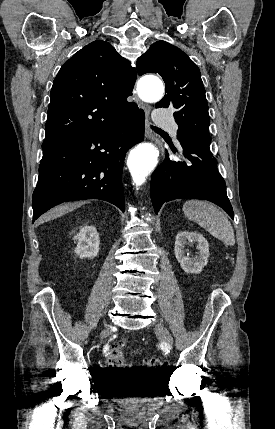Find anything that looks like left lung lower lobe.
Returning a JSON list of instances; mask_svg holds the SVG:
<instances>
[{"label": "left lung lower lobe", "mask_w": 275, "mask_h": 429, "mask_svg": "<svg viewBox=\"0 0 275 429\" xmlns=\"http://www.w3.org/2000/svg\"><path fill=\"white\" fill-rule=\"evenodd\" d=\"M179 141L185 160L175 161L166 153L164 162L152 174L151 200L155 213L165 202L194 198L215 203L233 219L226 184L217 169V160L210 152V144L194 137Z\"/></svg>", "instance_id": "0a47b994"}]
</instances>
